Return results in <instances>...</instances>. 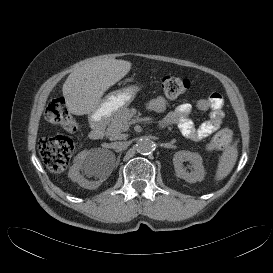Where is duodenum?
<instances>
[{
	"label": "duodenum",
	"mask_w": 273,
	"mask_h": 273,
	"mask_svg": "<svg viewBox=\"0 0 273 273\" xmlns=\"http://www.w3.org/2000/svg\"><path fill=\"white\" fill-rule=\"evenodd\" d=\"M105 123L103 119H95L92 121V127L90 132V139L93 141H99L104 136Z\"/></svg>",
	"instance_id": "1"
}]
</instances>
